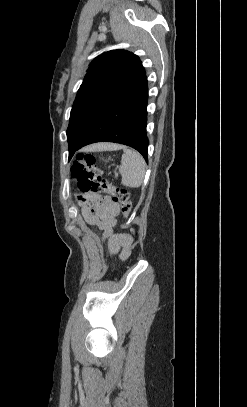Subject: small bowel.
Segmentation results:
<instances>
[{
    "label": "small bowel",
    "mask_w": 247,
    "mask_h": 407,
    "mask_svg": "<svg viewBox=\"0 0 247 407\" xmlns=\"http://www.w3.org/2000/svg\"><path fill=\"white\" fill-rule=\"evenodd\" d=\"M86 221L93 227L103 231V239L107 242L110 255L121 253L124 259L132 244V237L128 234H115L113 227L119 215V207L109 198L90 197L83 209Z\"/></svg>",
    "instance_id": "1"
}]
</instances>
